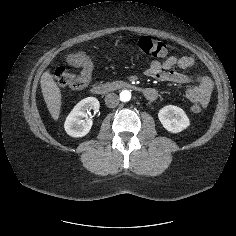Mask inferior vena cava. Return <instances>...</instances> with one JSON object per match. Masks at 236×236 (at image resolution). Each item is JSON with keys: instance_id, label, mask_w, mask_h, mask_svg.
Listing matches in <instances>:
<instances>
[{"instance_id": "1", "label": "inferior vena cava", "mask_w": 236, "mask_h": 236, "mask_svg": "<svg viewBox=\"0 0 236 236\" xmlns=\"http://www.w3.org/2000/svg\"><path fill=\"white\" fill-rule=\"evenodd\" d=\"M105 104L109 108H114L119 104V97L115 93H110L105 97Z\"/></svg>"}]
</instances>
